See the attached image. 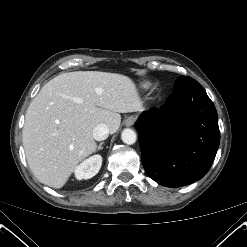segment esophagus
<instances>
[{
  "label": "esophagus",
  "instance_id": "obj_1",
  "mask_svg": "<svg viewBox=\"0 0 247 247\" xmlns=\"http://www.w3.org/2000/svg\"><path fill=\"white\" fill-rule=\"evenodd\" d=\"M134 122H135V118L133 116H130L125 120V125L132 126Z\"/></svg>",
  "mask_w": 247,
  "mask_h": 247
}]
</instances>
